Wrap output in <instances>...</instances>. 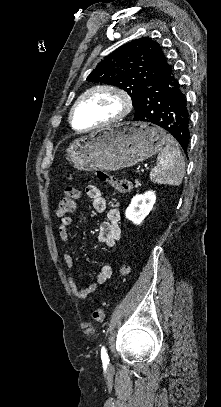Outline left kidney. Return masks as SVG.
<instances>
[{
	"label": "left kidney",
	"instance_id": "left-kidney-1",
	"mask_svg": "<svg viewBox=\"0 0 221 407\" xmlns=\"http://www.w3.org/2000/svg\"><path fill=\"white\" fill-rule=\"evenodd\" d=\"M156 202V195L153 191L137 194L131 200L130 205L125 211V216L134 224L139 225L150 213Z\"/></svg>",
	"mask_w": 221,
	"mask_h": 407
}]
</instances>
